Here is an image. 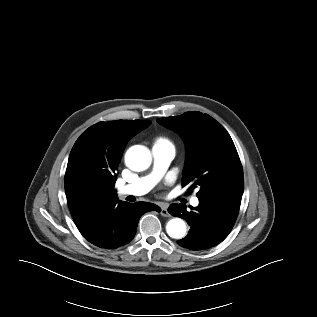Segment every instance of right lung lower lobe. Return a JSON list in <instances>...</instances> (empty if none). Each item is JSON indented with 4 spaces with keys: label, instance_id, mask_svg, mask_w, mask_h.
<instances>
[{
    "label": "right lung lower lobe",
    "instance_id": "right-lung-lower-lobe-1",
    "mask_svg": "<svg viewBox=\"0 0 317 317\" xmlns=\"http://www.w3.org/2000/svg\"><path fill=\"white\" fill-rule=\"evenodd\" d=\"M68 206L80 233L99 248L114 249L135 236L140 217L161 209L146 202L130 204L114 199H98L78 191L66 192Z\"/></svg>",
    "mask_w": 317,
    "mask_h": 317
}]
</instances>
